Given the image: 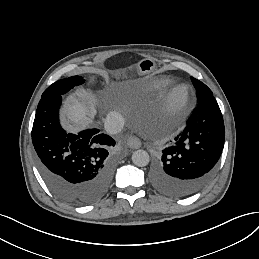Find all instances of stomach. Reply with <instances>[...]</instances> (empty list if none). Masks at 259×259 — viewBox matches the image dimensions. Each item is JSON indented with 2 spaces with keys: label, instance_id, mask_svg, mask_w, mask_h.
<instances>
[{
  "label": "stomach",
  "instance_id": "obj_1",
  "mask_svg": "<svg viewBox=\"0 0 259 259\" xmlns=\"http://www.w3.org/2000/svg\"><path fill=\"white\" fill-rule=\"evenodd\" d=\"M156 68V62L152 58H145L138 62L137 70L140 74H148L154 71Z\"/></svg>",
  "mask_w": 259,
  "mask_h": 259
}]
</instances>
